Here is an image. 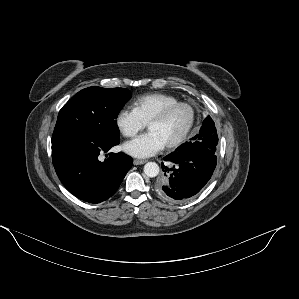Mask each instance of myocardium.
Segmentation results:
<instances>
[{
  "label": "myocardium",
  "instance_id": "1",
  "mask_svg": "<svg viewBox=\"0 0 299 299\" xmlns=\"http://www.w3.org/2000/svg\"><path fill=\"white\" fill-rule=\"evenodd\" d=\"M181 107H186L190 110L191 118H190L189 124L184 129V131L175 140H173L172 142L165 145V147L167 149H173V148L180 146L190 135V133L195 125L196 118H197V111H196L195 106L190 102L179 101L177 103H174V104L164 107L160 112H158L154 117H152L149 120V122L147 123L148 127L151 124L160 123V122L164 121L172 112H174L175 110H177Z\"/></svg>",
  "mask_w": 299,
  "mask_h": 299
}]
</instances>
